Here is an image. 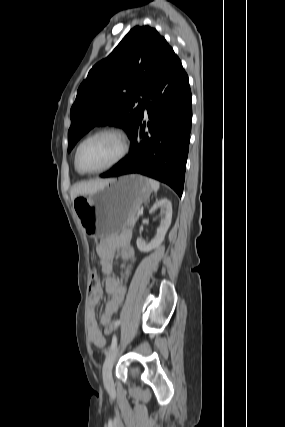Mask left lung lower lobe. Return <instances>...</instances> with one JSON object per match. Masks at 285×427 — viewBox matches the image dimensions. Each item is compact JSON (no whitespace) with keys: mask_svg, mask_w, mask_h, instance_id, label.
I'll list each match as a JSON object with an SVG mask.
<instances>
[{"mask_svg":"<svg viewBox=\"0 0 285 427\" xmlns=\"http://www.w3.org/2000/svg\"><path fill=\"white\" fill-rule=\"evenodd\" d=\"M151 122L138 120L129 156L101 177L139 173L166 183L181 197L190 142L192 97L189 80L172 50L144 104ZM144 111V110H143Z\"/></svg>","mask_w":285,"mask_h":427,"instance_id":"1","label":"left lung lower lobe"}]
</instances>
